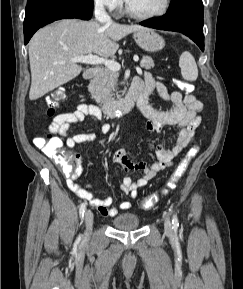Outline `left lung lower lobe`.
I'll return each mask as SVG.
<instances>
[{
	"mask_svg": "<svg viewBox=\"0 0 243 289\" xmlns=\"http://www.w3.org/2000/svg\"><path fill=\"white\" fill-rule=\"evenodd\" d=\"M140 24L183 33L204 51L202 0H172L165 15L142 21Z\"/></svg>",
	"mask_w": 243,
	"mask_h": 289,
	"instance_id": "1",
	"label": "left lung lower lobe"
}]
</instances>
